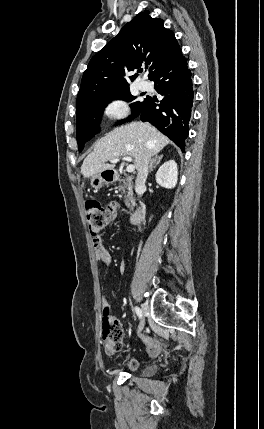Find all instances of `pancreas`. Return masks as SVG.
I'll list each match as a JSON object with an SVG mask.
<instances>
[{
	"instance_id": "pancreas-1",
	"label": "pancreas",
	"mask_w": 264,
	"mask_h": 429,
	"mask_svg": "<svg viewBox=\"0 0 264 429\" xmlns=\"http://www.w3.org/2000/svg\"><path fill=\"white\" fill-rule=\"evenodd\" d=\"M118 189L122 191L125 198V204L130 207L134 203L133 185L130 179H120Z\"/></svg>"
}]
</instances>
